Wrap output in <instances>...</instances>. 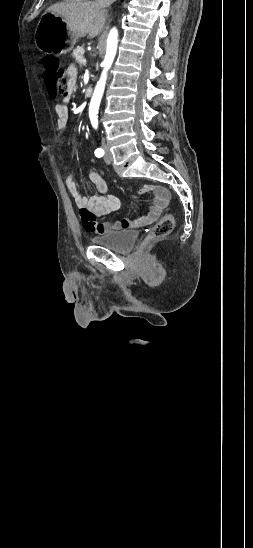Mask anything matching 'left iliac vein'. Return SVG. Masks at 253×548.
I'll return each mask as SVG.
<instances>
[{
    "label": "left iliac vein",
    "instance_id": "obj_1",
    "mask_svg": "<svg viewBox=\"0 0 253 548\" xmlns=\"http://www.w3.org/2000/svg\"><path fill=\"white\" fill-rule=\"evenodd\" d=\"M104 160L107 164H110L112 162V154L108 148V146H105V156Z\"/></svg>",
    "mask_w": 253,
    "mask_h": 548
}]
</instances>
